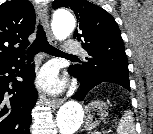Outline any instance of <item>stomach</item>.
<instances>
[{"mask_svg":"<svg viewBox=\"0 0 153 134\" xmlns=\"http://www.w3.org/2000/svg\"><path fill=\"white\" fill-rule=\"evenodd\" d=\"M108 116V106L105 102H91L86 106L85 126L87 128H95L101 122H104Z\"/></svg>","mask_w":153,"mask_h":134,"instance_id":"1","label":"stomach"}]
</instances>
